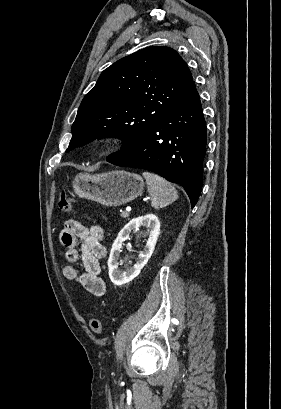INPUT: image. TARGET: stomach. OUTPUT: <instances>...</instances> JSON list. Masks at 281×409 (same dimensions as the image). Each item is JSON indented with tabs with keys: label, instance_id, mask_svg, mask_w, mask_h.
I'll list each match as a JSON object with an SVG mask.
<instances>
[{
	"label": "stomach",
	"instance_id": "1",
	"mask_svg": "<svg viewBox=\"0 0 281 409\" xmlns=\"http://www.w3.org/2000/svg\"><path fill=\"white\" fill-rule=\"evenodd\" d=\"M72 186L80 198L96 200L106 207H119L141 196L144 180L140 174L126 170H109L100 174L79 172L72 180Z\"/></svg>",
	"mask_w": 281,
	"mask_h": 409
}]
</instances>
